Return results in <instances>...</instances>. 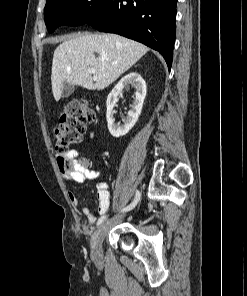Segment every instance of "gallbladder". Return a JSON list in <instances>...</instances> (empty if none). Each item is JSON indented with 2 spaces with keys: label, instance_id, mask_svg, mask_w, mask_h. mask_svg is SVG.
<instances>
[{
  "label": "gallbladder",
  "instance_id": "gallbladder-1",
  "mask_svg": "<svg viewBox=\"0 0 247 296\" xmlns=\"http://www.w3.org/2000/svg\"><path fill=\"white\" fill-rule=\"evenodd\" d=\"M75 90V86L73 84L64 83V87L62 89V98H67L69 97Z\"/></svg>",
  "mask_w": 247,
  "mask_h": 296
}]
</instances>
